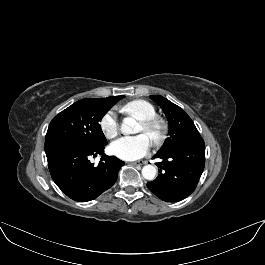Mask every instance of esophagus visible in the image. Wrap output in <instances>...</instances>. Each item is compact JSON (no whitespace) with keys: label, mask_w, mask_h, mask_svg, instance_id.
Wrapping results in <instances>:
<instances>
[{"label":"esophagus","mask_w":265,"mask_h":265,"mask_svg":"<svg viewBox=\"0 0 265 265\" xmlns=\"http://www.w3.org/2000/svg\"><path fill=\"white\" fill-rule=\"evenodd\" d=\"M146 162L145 161H137V162H132L131 165H144Z\"/></svg>","instance_id":"obj_1"}]
</instances>
